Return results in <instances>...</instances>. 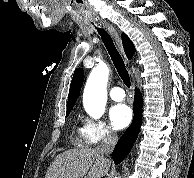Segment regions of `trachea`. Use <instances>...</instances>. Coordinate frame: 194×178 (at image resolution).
<instances>
[{"label":"trachea","mask_w":194,"mask_h":178,"mask_svg":"<svg viewBox=\"0 0 194 178\" xmlns=\"http://www.w3.org/2000/svg\"><path fill=\"white\" fill-rule=\"evenodd\" d=\"M98 33L101 36V39L111 57V60L120 76V78L122 79V81L124 82V84L127 87H130V76L129 73L125 67L124 61L121 57V55L119 54L118 50L115 47V44L111 38V36L104 30L101 28L97 29Z\"/></svg>","instance_id":"obj_1"}]
</instances>
